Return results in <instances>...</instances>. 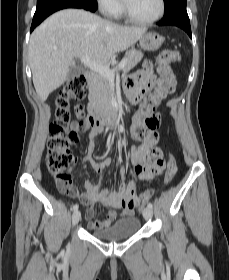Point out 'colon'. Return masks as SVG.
<instances>
[{
    "label": "colon",
    "mask_w": 229,
    "mask_h": 280,
    "mask_svg": "<svg viewBox=\"0 0 229 280\" xmlns=\"http://www.w3.org/2000/svg\"><path fill=\"white\" fill-rule=\"evenodd\" d=\"M179 59V53L172 49L162 50L157 58V72L160 76V83L169 93L174 91L173 80L175 75L171 69V64ZM86 79L82 75L75 76L57 95L55 100V122L51 124L49 138L47 142L46 165L52 174L58 187L65 192L75 191L76 188L66 172L67 167L73 162L71 147L79 140V134L87 132L91 125L84 118V112L81 105H76L71 109V101L81 102L85 96ZM145 104L151 105L154 102L153 95L145 98ZM160 124L158 114L146 115L138 112L133 121L132 135L135 138H141L146 135L148 130L155 129ZM153 155L156 160L149 162L147 169L158 173L161 171L164 162L159 151ZM177 165L174 159H170L165 171L164 184H169L175 177ZM152 191H146L141 194L140 199H131L128 206L135 209L146 204L152 197Z\"/></svg>",
    "instance_id": "obj_1"
}]
</instances>
